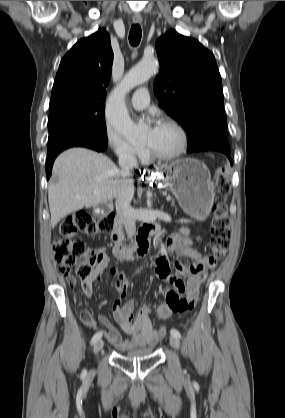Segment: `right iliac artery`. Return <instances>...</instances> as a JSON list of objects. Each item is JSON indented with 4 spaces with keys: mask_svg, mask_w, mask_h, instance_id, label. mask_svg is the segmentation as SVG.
I'll return each instance as SVG.
<instances>
[{
    "mask_svg": "<svg viewBox=\"0 0 285 418\" xmlns=\"http://www.w3.org/2000/svg\"><path fill=\"white\" fill-rule=\"evenodd\" d=\"M101 337H102L101 332H97L96 334H94V336L92 337V340H91V344H94L96 341L101 339Z\"/></svg>",
    "mask_w": 285,
    "mask_h": 418,
    "instance_id": "1",
    "label": "right iliac artery"
}]
</instances>
